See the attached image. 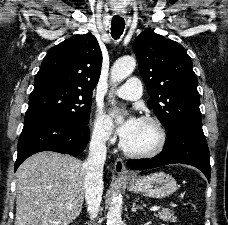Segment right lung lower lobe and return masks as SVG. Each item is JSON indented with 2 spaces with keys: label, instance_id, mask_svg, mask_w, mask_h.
I'll return each mask as SVG.
<instances>
[{
  "label": "right lung lower lobe",
  "instance_id": "98d812e1",
  "mask_svg": "<svg viewBox=\"0 0 228 225\" xmlns=\"http://www.w3.org/2000/svg\"><path fill=\"white\" fill-rule=\"evenodd\" d=\"M89 141V128L72 119L56 115L25 118L18 141L14 171L29 156L41 151L63 154L81 153Z\"/></svg>",
  "mask_w": 228,
  "mask_h": 225
}]
</instances>
